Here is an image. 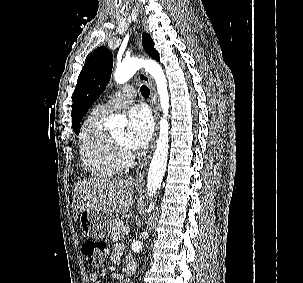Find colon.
Returning <instances> with one entry per match:
<instances>
[{
  "mask_svg": "<svg viewBox=\"0 0 303 283\" xmlns=\"http://www.w3.org/2000/svg\"><path fill=\"white\" fill-rule=\"evenodd\" d=\"M81 253L87 263L98 268L109 256L110 248L107 243L97 240H85L81 244Z\"/></svg>",
  "mask_w": 303,
  "mask_h": 283,
  "instance_id": "5ec220e1",
  "label": "colon"
}]
</instances>
